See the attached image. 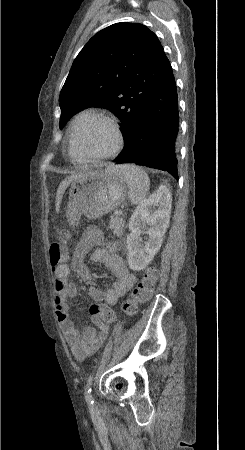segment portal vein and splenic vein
<instances>
[{
	"label": "portal vein and splenic vein",
	"instance_id": "18ae733b",
	"mask_svg": "<svg viewBox=\"0 0 245 450\" xmlns=\"http://www.w3.org/2000/svg\"><path fill=\"white\" fill-rule=\"evenodd\" d=\"M122 214H123L122 211H118V212H117V215H122Z\"/></svg>",
	"mask_w": 245,
	"mask_h": 450
}]
</instances>
